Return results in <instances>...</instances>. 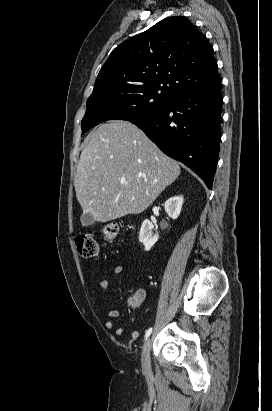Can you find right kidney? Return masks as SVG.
Returning <instances> with one entry per match:
<instances>
[{
    "mask_svg": "<svg viewBox=\"0 0 272 411\" xmlns=\"http://www.w3.org/2000/svg\"><path fill=\"white\" fill-rule=\"evenodd\" d=\"M184 198L182 195L169 198L164 208L166 213L172 219H177L180 215ZM153 224L148 220H144L139 233V241L143 244L144 250L149 251L157 241V236H153Z\"/></svg>",
    "mask_w": 272,
    "mask_h": 411,
    "instance_id": "ca27d5eb",
    "label": "right kidney"
}]
</instances>
